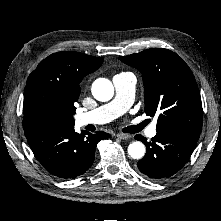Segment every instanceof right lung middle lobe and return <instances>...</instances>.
I'll list each match as a JSON object with an SVG mask.
<instances>
[{
    "instance_id": "dd1d6c3e",
    "label": "right lung middle lobe",
    "mask_w": 221,
    "mask_h": 221,
    "mask_svg": "<svg viewBox=\"0 0 221 221\" xmlns=\"http://www.w3.org/2000/svg\"><path fill=\"white\" fill-rule=\"evenodd\" d=\"M23 114V120L32 124L63 126V110L51 96L43 93L31 94L24 100Z\"/></svg>"
}]
</instances>
